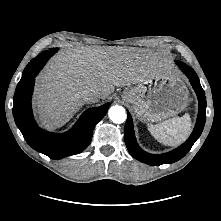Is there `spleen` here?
Segmentation results:
<instances>
[{
  "mask_svg": "<svg viewBox=\"0 0 221 221\" xmlns=\"http://www.w3.org/2000/svg\"><path fill=\"white\" fill-rule=\"evenodd\" d=\"M191 118L189 114L174 117L160 124L148 125L151 135L166 146H177L183 143L191 132Z\"/></svg>",
  "mask_w": 221,
  "mask_h": 221,
  "instance_id": "3e777b00",
  "label": "spleen"
}]
</instances>
